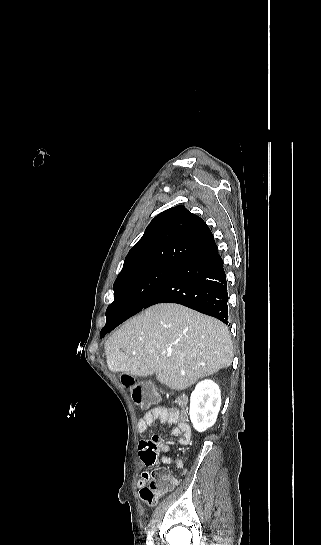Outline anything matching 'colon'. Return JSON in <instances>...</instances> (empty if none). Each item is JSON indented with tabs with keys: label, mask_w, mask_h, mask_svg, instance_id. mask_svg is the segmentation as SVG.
I'll use <instances>...</instances> for the list:
<instances>
[{
	"label": "colon",
	"mask_w": 321,
	"mask_h": 545,
	"mask_svg": "<svg viewBox=\"0 0 321 545\" xmlns=\"http://www.w3.org/2000/svg\"><path fill=\"white\" fill-rule=\"evenodd\" d=\"M122 383L129 389L134 403L141 408H148L158 399L156 390L148 383L139 381L130 375L122 377ZM158 437L141 444L142 454L149 460H154L157 455ZM176 482L168 475L159 471L150 477V483L140 489L141 499L147 504H154L166 492L170 491Z\"/></svg>",
	"instance_id": "colon-1"
}]
</instances>
